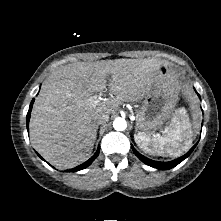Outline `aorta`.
<instances>
[{"label":"aorta","mask_w":221,"mask_h":221,"mask_svg":"<svg viewBox=\"0 0 221 221\" xmlns=\"http://www.w3.org/2000/svg\"><path fill=\"white\" fill-rule=\"evenodd\" d=\"M113 127L117 131H123L127 127V122L124 118H116L113 122Z\"/></svg>","instance_id":"aorta-1"}]
</instances>
